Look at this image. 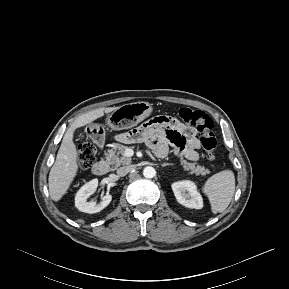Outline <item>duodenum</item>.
<instances>
[{"mask_svg": "<svg viewBox=\"0 0 289 289\" xmlns=\"http://www.w3.org/2000/svg\"><path fill=\"white\" fill-rule=\"evenodd\" d=\"M109 168L110 166H109L108 161L105 159H102L93 165L92 171L96 175H104L109 171Z\"/></svg>", "mask_w": 289, "mask_h": 289, "instance_id": "1", "label": "duodenum"}]
</instances>
